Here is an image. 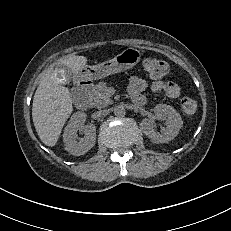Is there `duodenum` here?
I'll use <instances>...</instances> for the list:
<instances>
[{
    "label": "duodenum",
    "instance_id": "obj_1",
    "mask_svg": "<svg viewBox=\"0 0 231 231\" xmlns=\"http://www.w3.org/2000/svg\"><path fill=\"white\" fill-rule=\"evenodd\" d=\"M94 90L93 82L90 80H80L77 83L78 103L82 110H86L90 106V97ZM137 104H143L142 100H138Z\"/></svg>",
    "mask_w": 231,
    "mask_h": 231
}]
</instances>
